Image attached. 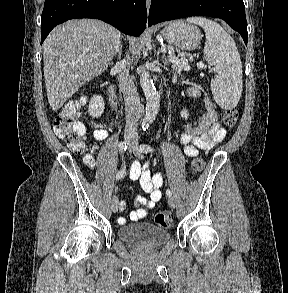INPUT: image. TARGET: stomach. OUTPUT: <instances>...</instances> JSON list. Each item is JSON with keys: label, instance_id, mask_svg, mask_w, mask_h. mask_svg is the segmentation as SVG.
Here are the masks:
<instances>
[{"label": "stomach", "instance_id": "1", "mask_svg": "<svg viewBox=\"0 0 288 293\" xmlns=\"http://www.w3.org/2000/svg\"><path fill=\"white\" fill-rule=\"evenodd\" d=\"M161 35L168 43L181 50H194L202 39L198 27L183 21L170 23L161 31Z\"/></svg>", "mask_w": 288, "mask_h": 293}]
</instances>
